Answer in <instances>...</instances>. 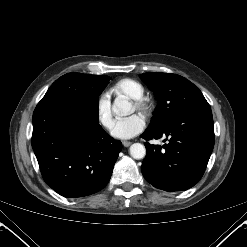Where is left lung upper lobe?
Instances as JSON below:
<instances>
[{
	"mask_svg": "<svg viewBox=\"0 0 247 247\" xmlns=\"http://www.w3.org/2000/svg\"><path fill=\"white\" fill-rule=\"evenodd\" d=\"M139 76L159 102L147 129H160L195 110L210 109L201 91L180 75L155 72Z\"/></svg>",
	"mask_w": 247,
	"mask_h": 247,
	"instance_id": "1",
	"label": "left lung upper lobe"
}]
</instances>
